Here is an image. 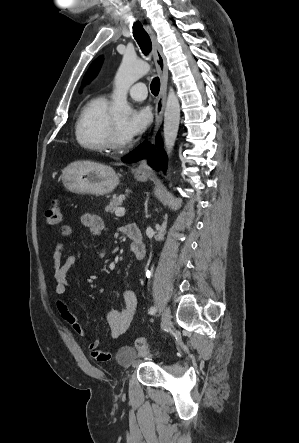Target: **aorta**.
<instances>
[{"instance_id":"aorta-1","label":"aorta","mask_w":299,"mask_h":443,"mask_svg":"<svg viewBox=\"0 0 299 443\" xmlns=\"http://www.w3.org/2000/svg\"><path fill=\"white\" fill-rule=\"evenodd\" d=\"M150 71V65L135 57L125 55L116 73L114 83V101L110 113L115 118H127L132 109L127 102L128 89ZM180 122V104L173 89L169 90L164 113V145L170 156L178 134Z\"/></svg>"}]
</instances>
